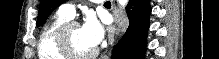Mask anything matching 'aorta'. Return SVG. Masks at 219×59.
<instances>
[{"mask_svg": "<svg viewBox=\"0 0 219 59\" xmlns=\"http://www.w3.org/2000/svg\"><path fill=\"white\" fill-rule=\"evenodd\" d=\"M120 6L125 7L128 3V0H118Z\"/></svg>", "mask_w": 219, "mask_h": 59, "instance_id": "aorta-1", "label": "aorta"}]
</instances>
